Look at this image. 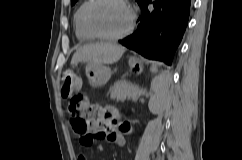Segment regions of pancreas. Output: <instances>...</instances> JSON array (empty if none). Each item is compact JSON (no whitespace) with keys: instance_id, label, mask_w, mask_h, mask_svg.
<instances>
[{"instance_id":"1","label":"pancreas","mask_w":242,"mask_h":160,"mask_svg":"<svg viewBox=\"0 0 242 160\" xmlns=\"http://www.w3.org/2000/svg\"><path fill=\"white\" fill-rule=\"evenodd\" d=\"M110 97L112 100L124 101L126 99H136L141 94L143 90L135 84H131L125 81H118L109 89Z\"/></svg>"}]
</instances>
